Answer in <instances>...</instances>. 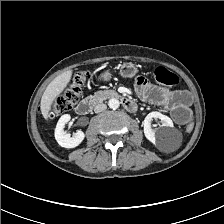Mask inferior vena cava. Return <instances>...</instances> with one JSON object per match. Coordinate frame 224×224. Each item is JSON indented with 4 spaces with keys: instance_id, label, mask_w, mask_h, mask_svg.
<instances>
[{
    "instance_id": "inferior-vena-cava-1",
    "label": "inferior vena cava",
    "mask_w": 224,
    "mask_h": 224,
    "mask_svg": "<svg viewBox=\"0 0 224 224\" xmlns=\"http://www.w3.org/2000/svg\"><path fill=\"white\" fill-rule=\"evenodd\" d=\"M106 108H107L106 104L99 103V104H97V105L95 106V108H94V112H95V113H100V112L106 110Z\"/></svg>"
}]
</instances>
